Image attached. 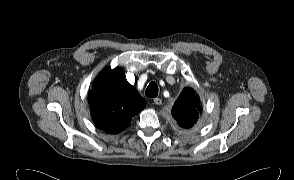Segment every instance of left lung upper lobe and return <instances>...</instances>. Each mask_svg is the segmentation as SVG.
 Returning <instances> with one entry per match:
<instances>
[{
	"label": "left lung upper lobe",
	"instance_id": "1",
	"mask_svg": "<svg viewBox=\"0 0 294 180\" xmlns=\"http://www.w3.org/2000/svg\"><path fill=\"white\" fill-rule=\"evenodd\" d=\"M201 115L200 99L191 88H185L172 107V116L178 125L191 129L197 125Z\"/></svg>",
	"mask_w": 294,
	"mask_h": 180
}]
</instances>
